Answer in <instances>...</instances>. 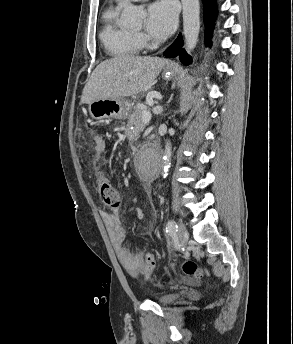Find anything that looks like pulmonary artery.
<instances>
[{
	"label": "pulmonary artery",
	"mask_w": 293,
	"mask_h": 344,
	"mask_svg": "<svg viewBox=\"0 0 293 344\" xmlns=\"http://www.w3.org/2000/svg\"><path fill=\"white\" fill-rule=\"evenodd\" d=\"M118 3H122V2H124V1H126V0H116ZM133 1H142V0H133Z\"/></svg>",
	"instance_id": "obj_1"
}]
</instances>
